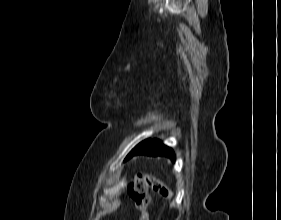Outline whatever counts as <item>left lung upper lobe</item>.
<instances>
[{"instance_id": "obj_1", "label": "left lung upper lobe", "mask_w": 281, "mask_h": 220, "mask_svg": "<svg viewBox=\"0 0 281 220\" xmlns=\"http://www.w3.org/2000/svg\"><path fill=\"white\" fill-rule=\"evenodd\" d=\"M149 140H145L143 142H141L140 144H138L128 155L127 157L125 158V160H127V158L130 156V154L137 148H139L140 146L144 145L146 142H148Z\"/></svg>"}]
</instances>
